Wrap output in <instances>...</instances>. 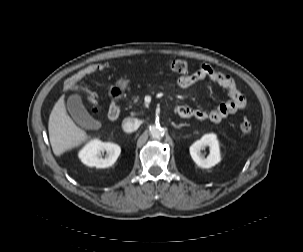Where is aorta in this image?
Returning <instances> with one entry per match:
<instances>
[{
  "mask_svg": "<svg viewBox=\"0 0 303 252\" xmlns=\"http://www.w3.org/2000/svg\"><path fill=\"white\" fill-rule=\"evenodd\" d=\"M149 133L150 136L154 139H160L164 135L163 129L158 125L151 126Z\"/></svg>",
  "mask_w": 303,
  "mask_h": 252,
  "instance_id": "1",
  "label": "aorta"
}]
</instances>
